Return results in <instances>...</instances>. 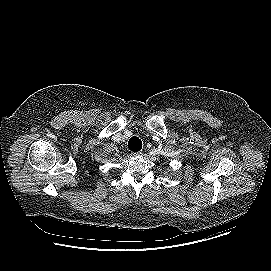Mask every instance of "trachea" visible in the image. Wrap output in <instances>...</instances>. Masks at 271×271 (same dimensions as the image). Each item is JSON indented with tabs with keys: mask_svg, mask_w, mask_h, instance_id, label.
Returning a JSON list of instances; mask_svg holds the SVG:
<instances>
[{
	"mask_svg": "<svg viewBox=\"0 0 271 271\" xmlns=\"http://www.w3.org/2000/svg\"><path fill=\"white\" fill-rule=\"evenodd\" d=\"M128 148L132 152H139L142 149V141L138 137H132L128 142Z\"/></svg>",
	"mask_w": 271,
	"mask_h": 271,
	"instance_id": "obj_1",
	"label": "trachea"
}]
</instances>
